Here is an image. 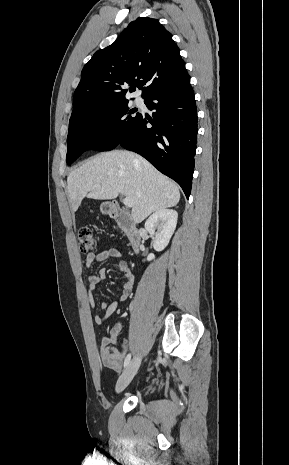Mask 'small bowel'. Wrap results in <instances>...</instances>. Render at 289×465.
<instances>
[{"label": "small bowel", "instance_id": "obj_1", "mask_svg": "<svg viewBox=\"0 0 289 465\" xmlns=\"http://www.w3.org/2000/svg\"><path fill=\"white\" fill-rule=\"evenodd\" d=\"M120 258L117 268L125 278V282L122 286L121 293L117 300L112 302L103 301L100 305L101 309L105 311L104 315L97 314L94 319L97 324L104 323L109 319L115 310L118 307L119 302L125 301L130 295L133 284H134V274L128 267L127 262L121 258V254L115 248H109L100 250L97 253L89 252L86 256V267H90L95 263L103 262L109 258ZM106 278V272L104 269L98 270L96 273H89L87 275L88 282V295L89 303L91 307L95 306L93 293L96 290L97 285ZM121 331V325L115 324L108 336H104L101 340V346L99 349V357L101 361L110 369L114 371H119L121 369L122 363L125 357L126 344L120 342L118 339L119 333ZM112 345L118 346L119 350L116 351Z\"/></svg>", "mask_w": 289, "mask_h": 465}]
</instances>
